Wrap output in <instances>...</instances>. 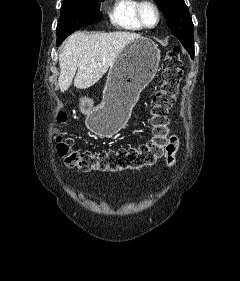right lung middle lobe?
Segmentation results:
<instances>
[{"mask_svg": "<svg viewBox=\"0 0 240 281\" xmlns=\"http://www.w3.org/2000/svg\"><path fill=\"white\" fill-rule=\"evenodd\" d=\"M104 0H63L56 28L57 46L80 27L96 23L101 18L100 2Z\"/></svg>", "mask_w": 240, "mask_h": 281, "instance_id": "obj_1", "label": "right lung middle lobe"}]
</instances>
